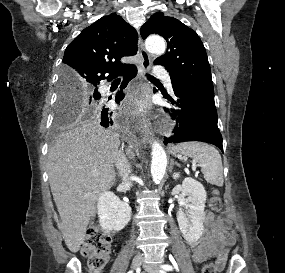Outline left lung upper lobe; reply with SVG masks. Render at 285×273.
Returning <instances> with one entry per match:
<instances>
[{
    "mask_svg": "<svg viewBox=\"0 0 285 273\" xmlns=\"http://www.w3.org/2000/svg\"><path fill=\"white\" fill-rule=\"evenodd\" d=\"M140 33L144 39L150 34H159L167 41L166 54L154 63L167 69L173 87L213 91L206 50L195 31L179 20L157 12L141 27Z\"/></svg>",
    "mask_w": 285,
    "mask_h": 273,
    "instance_id": "5c2ea615",
    "label": "left lung upper lobe"
}]
</instances>
